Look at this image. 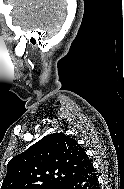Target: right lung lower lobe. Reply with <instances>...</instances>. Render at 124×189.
<instances>
[{
    "label": "right lung lower lobe",
    "instance_id": "right-lung-lower-lobe-1",
    "mask_svg": "<svg viewBox=\"0 0 124 189\" xmlns=\"http://www.w3.org/2000/svg\"><path fill=\"white\" fill-rule=\"evenodd\" d=\"M62 189H100L97 173L92 163L84 172L68 181Z\"/></svg>",
    "mask_w": 124,
    "mask_h": 189
}]
</instances>
